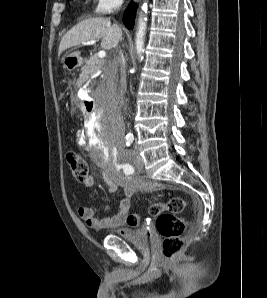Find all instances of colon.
<instances>
[{
	"label": "colon",
	"mask_w": 267,
	"mask_h": 298,
	"mask_svg": "<svg viewBox=\"0 0 267 298\" xmlns=\"http://www.w3.org/2000/svg\"><path fill=\"white\" fill-rule=\"evenodd\" d=\"M66 160L74 178L81 184L89 179V167L86 160L76 152H68ZM186 201L181 197H172L165 202L154 203L149 207V214L156 219V227L163 237L162 253L166 259L175 257L184 246V234L188 221L183 213ZM139 214H130L127 223L131 227L141 224Z\"/></svg>",
	"instance_id": "5ec220e1"
}]
</instances>
